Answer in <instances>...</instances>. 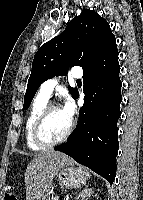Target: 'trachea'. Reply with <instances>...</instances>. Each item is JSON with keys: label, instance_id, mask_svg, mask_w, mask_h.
<instances>
[{"label": "trachea", "instance_id": "3493384b", "mask_svg": "<svg viewBox=\"0 0 143 200\" xmlns=\"http://www.w3.org/2000/svg\"><path fill=\"white\" fill-rule=\"evenodd\" d=\"M76 82H77V83H81V80H77Z\"/></svg>", "mask_w": 143, "mask_h": 200}]
</instances>
